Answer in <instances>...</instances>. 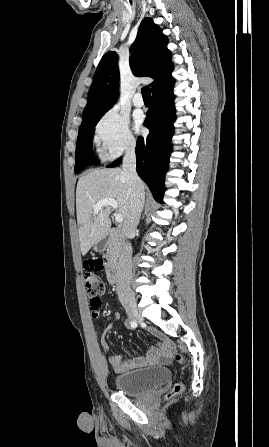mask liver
Here are the masks:
<instances>
[{"label": "liver", "mask_w": 269, "mask_h": 447, "mask_svg": "<svg viewBox=\"0 0 269 447\" xmlns=\"http://www.w3.org/2000/svg\"><path fill=\"white\" fill-rule=\"evenodd\" d=\"M103 198L116 200L119 214L124 220L127 218L130 194L121 168L88 170V174L78 180L76 214L82 255H86L94 243L104 239L111 227V206H102L99 212H94V206Z\"/></svg>", "instance_id": "1"}]
</instances>
